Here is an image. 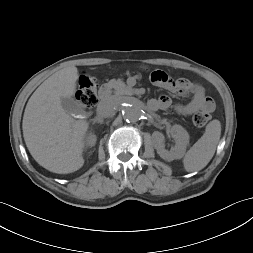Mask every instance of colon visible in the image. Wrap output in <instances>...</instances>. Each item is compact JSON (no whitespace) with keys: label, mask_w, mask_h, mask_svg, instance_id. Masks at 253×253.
<instances>
[{"label":"colon","mask_w":253,"mask_h":253,"mask_svg":"<svg viewBox=\"0 0 253 253\" xmlns=\"http://www.w3.org/2000/svg\"><path fill=\"white\" fill-rule=\"evenodd\" d=\"M152 75H157V72L155 71ZM96 90L95 78L90 75H82L79 80V90L77 92L78 102L83 107H93L97 103ZM192 120L196 127H204L210 120V114L208 112H197Z\"/></svg>","instance_id":"1"}]
</instances>
